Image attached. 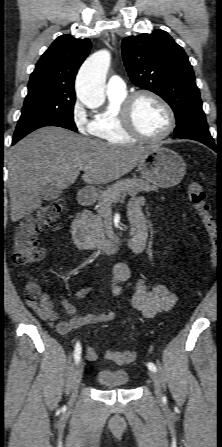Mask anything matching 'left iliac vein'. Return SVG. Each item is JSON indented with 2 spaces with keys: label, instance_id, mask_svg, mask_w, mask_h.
I'll return each instance as SVG.
<instances>
[{
  "label": "left iliac vein",
  "instance_id": "obj_1",
  "mask_svg": "<svg viewBox=\"0 0 222 447\" xmlns=\"http://www.w3.org/2000/svg\"><path fill=\"white\" fill-rule=\"evenodd\" d=\"M149 376H150L153 386H154V392H155L156 398L158 400H161L163 398V392H162V386H161L160 380H159L158 376L153 371H149Z\"/></svg>",
  "mask_w": 222,
  "mask_h": 447
}]
</instances>
